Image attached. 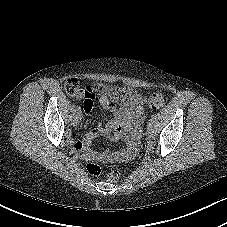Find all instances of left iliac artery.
Returning a JSON list of instances; mask_svg holds the SVG:
<instances>
[{
	"label": "left iliac artery",
	"mask_w": 227,
	"mask_h": 227,
	"mask_svg": "<svg viewBox=\"0 0 227 227\" xmlns=\"http://www.w3.org/2000/svg\"><path fill=\"white\" fill-rule=\"evenodd\" d=\"M153 122H154V120H153V117H151L149 120H148V127H150V126H152L153 125Z\"/></svg>",
	"instance_id": "44dca946"
}]
</instances>
